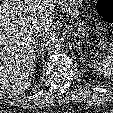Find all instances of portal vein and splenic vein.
I'll list each match as a JSON object with an SVG mask.
<instances>
[{
  "instance_id": "1",
  "label": "portal vein and splenic vein",
  "mask_w": 113,
  "mask_h": 113,
  "mask_svg": "<svg viewBox=\"0 0 113 113\" xmlns=\"http://www.w3.org/2000/svg\"><path fill=\"white\" fill-rule=\"evenodd\" d=\"M18 9L20 10V11H22V8L20 7V6H18ZM22 14V13H21Z\"/></svg>"
}]
</instances>
